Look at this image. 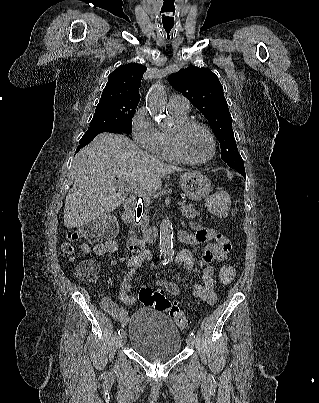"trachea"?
I'll return each instance as SVG.
<instances>
[{
	"mask_svg": "<svg viewBox=\"0 0 319 403\" xmlns=\"http://www.w3.org/2000/svg\"><path fill=\"white\" fill-rule=\"evenodd\" d=\"M163 28H164V30H165V32L167 34V38L170 39V33H171L172 28H173V22L172 21L164 22L163 23Z\"/></svg>",
	"mask_w": 319,
	"mask_h": 403,
	"instance_id": "3493384b",
	"label": "trachea"
}]
</instances>
